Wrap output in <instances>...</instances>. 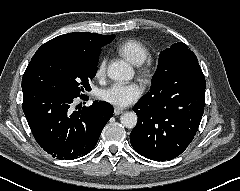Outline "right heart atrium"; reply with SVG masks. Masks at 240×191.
I'll return each mask as SVG.
<instances>
[{
    "label": "right heart atrium",
    "mask_w": 240,
    "mask_h": 191,
    "mask_svg": "<svg viewBox=\"0 0 240 191\" xmlns=\"http://www.w3.org/2000/svg\"><path fill=\"white\" fill-rule=\"evenodd\" d=\"M106 71V59L102 58L96 68V77L101 78L105 75Z\"/></svg>",
    "instance_id": "d8ad5b80"
}]
</instances>
